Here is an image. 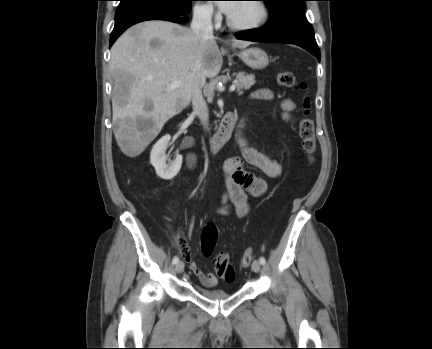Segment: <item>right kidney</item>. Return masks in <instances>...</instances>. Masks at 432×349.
Wrapping results in <instances>:
<instances>
[{"label": "right kidney", "instance_id": "ca27d5eb", "mask_svg": "<svg viewBox=\"0 0 432 349\" xmlns=\"http://www.w3.org/2000/svg\"><path fill=\"white\" fill-rule=\"evenodd\" d=\"M170 139V135L163 136L153 146L150 154V163L155 168L156 174L164 180L173 179L180 171L182 165L181 155H177L173 161L166 163L167 156L165 153Z\"/></svg>", "mask_w": 432, "mask_h": 349}]
</instances>
